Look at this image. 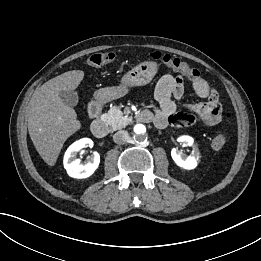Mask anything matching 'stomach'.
<instances>
[{"mask_svg":"<svg viewBox=\"0 0 261 261\" xmlns=\"http://www.w3.org/2000/svg\"><path fill=\"white\" fill-rule=\"evenodd\" d=\"M157 70L158 65L154 61L139 63L124 74L119 86L101 88L94 93V98L101 103L121 98L129 92L130 88L150 83Z\"/></svg>","mask_w":261,"mask_h":261,"instance_id":"0dacf381","label":"stomach"}]
</instances>
